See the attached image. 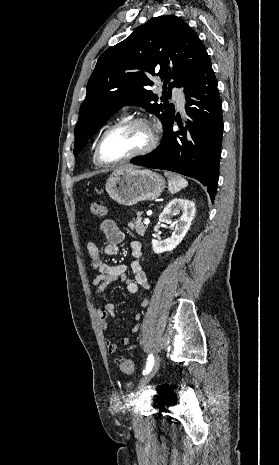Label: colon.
I'll use <instances>...</instances> for the list:
<instances>
[{
    "label": "colon",
    "instance_id": "5ec220e1",
    "mask_svg": "<svg viewBox=\"0 0 279 465\" xmlns=\"http://www.w3.org/2000/svg\"><path fill=\"white\" fill-rule=\"evenodd\" d=\"M107 209L106 207L98 202L92 203L91 205V213L96 218H102L106 215ZM119 367L124 374L131 375L135 371L134 363L129 358H122L119 361Z\"/></svg>",
    "mask_w": 279,
    "mask_h": 465
}]
</instances>
